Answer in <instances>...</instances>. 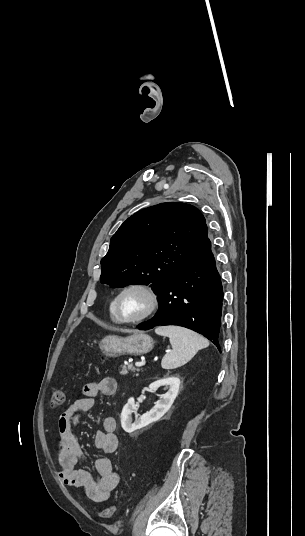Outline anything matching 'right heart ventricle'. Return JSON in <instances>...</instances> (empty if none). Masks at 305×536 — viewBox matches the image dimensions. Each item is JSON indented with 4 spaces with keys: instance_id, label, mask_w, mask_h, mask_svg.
I'll use <instances>...</instances> for the list:
<instances>
[{
    "instance_id": "right-heart-ventricle-1",
    "label": "right heart ventricle",
    "mask_w": 305,
    "mask_h": 536,
    "mask_svg": "<svg viewBox=\"0 0 305 536\" xmlns=\"http://www.w3.org/2000/svg\"><path fill=\"white\" fill-rule=\"evenodd\" d=\"M109 318L111 320V322L117 324L115 318H114V315H113V310H112V302L110 303V306H109Z\"/></svg>"
}]
</instances>
